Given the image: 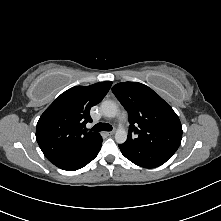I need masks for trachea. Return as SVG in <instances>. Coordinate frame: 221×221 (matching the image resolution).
Wrapping results in <instances>:
<instances>
[{
  "label": "trachea",
  "mask_w": 221,
  "mask_h": 221,
  "mask_svg": "<svg viewBox=\"0 0 221 221\" xmlns=\"http://www.w3.org/2000/svg\"><path fill=\"white\" fill-rule=\"evenodd\" d=\"M93 131H111L112 130V126L108 123H98L96 124L93 128Z\"/></svg>",
  "instance_id": "trachea-1"
}]
</instances>
